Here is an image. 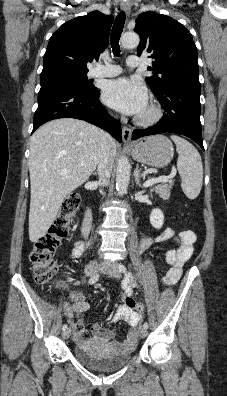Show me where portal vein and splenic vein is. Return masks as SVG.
Instances as JSON below:
<instances>
[{
  "mask_svg": "<svg viewBox=\"0 0 227 396\" xmlns=\"http://www.w3.org/2000/svg\"><path fill=\"white\" fill-rule=\"evenodd\" d=\"M175 175H176V169L173 168L171 173L168 176H160L157 178H151V179L147 180L144 183V187H149V186L159 183V182H167L170 178H173Z\"/></svg>",
  "mask_w": 227,
  "mask_h": 396,
  "instance_id": "18ae733b",
  "label": "portal vein and splenic vein"
}]
</instances>
